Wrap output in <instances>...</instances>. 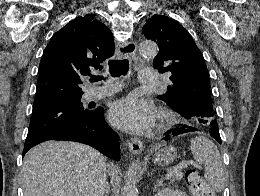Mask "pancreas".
Wrapping results in <instances>:
<instances>
[{
    "label": "pancreas",
    "instance_id": "obj_1",
    "mask_svg": "<svg viewBox=\"0 0 260 196\" xmlns=\"http://www.w3.org/2000/svg\"><path fill=\"white\" fill-rule=\"evenodd\" d=\"M181 178H182V174H178V176H176V178H173V180H181ZM173 180H172V182H173Z\"/></svg>",
    "mask_w": 260,
    "mask_h": 196
}]
</instances>
